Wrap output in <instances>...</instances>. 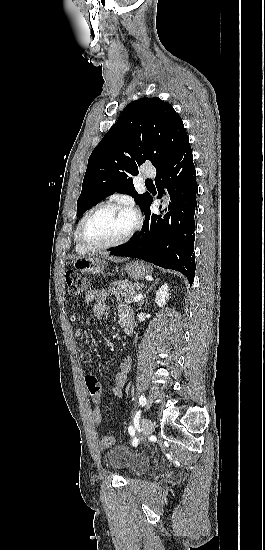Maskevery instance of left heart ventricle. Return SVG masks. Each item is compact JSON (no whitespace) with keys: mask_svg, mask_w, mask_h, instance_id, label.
Segmentation results:
<instances>
[{"mask_svg":"<svg viewBox=\"0 0 265 550\" xmlns=\"http://www.w3.org/2000/svg\"><path fill=\"white\" fill-rule=\"evenodd\" d=\"M127 211L107 208L92 214L83 228L84 238L94 244H106L122 238L133 226Z\"/></svg>","mask_w":265,"mask_h":550,"instance_id":"obj_1","label":"left heart ventricle"}]
</instances>
